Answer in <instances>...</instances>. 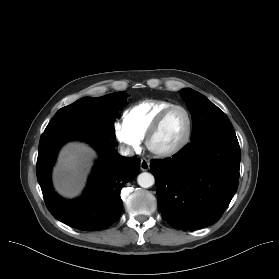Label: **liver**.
<instances>
[{"mask_svg": "<svg viewBox=\"0 0 279 279\" xmlns=\"http://www.w3.org/2000/svg\"><path fill=\"white\" fill-rule=\"evenodd\" d=\"M92 157L93 151L80 143H69L61 151L54 170V184L60 194L74 197L80 193Z\"/></svg>", "mask_w": 279, "mask_h": 279, "instance_id": "1", "label": "liver"}]
</instances>
